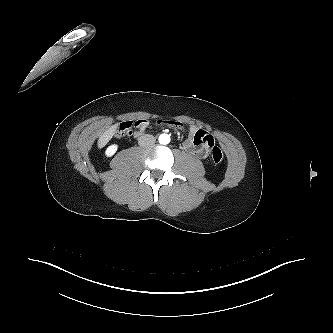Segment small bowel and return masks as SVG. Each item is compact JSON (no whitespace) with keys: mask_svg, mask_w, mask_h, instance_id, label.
<instances>
[{"mask_svg":"<svg viewBox=\"0 0 333 333\" xmlns=\"http://www.w3.org/2000/svg\"><path fill=\"white\" fill-rule=\"evenodd\" d=\"M160 125H166L175 129L182 130L184 125L174 120H161L158 121ZM150 126V123L146 119H140L136 121V135H142ZM215 138L202 129H197L191 126L189 128L188 137L183 142V148L193 154H196L200 158H206L209 153V149L212 145H215Z\"/></svg>","mask_w":333,"mask_h":333,"instance_id":"c3829d8e","label":"small bowel"}]
</instances>
